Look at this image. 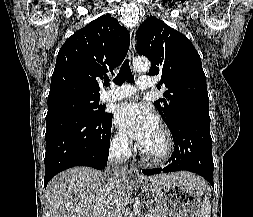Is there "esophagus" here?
I'll return each mask as SVG.
<instances>
[{"instance_id":"obj_1","label":"esophagus","mask_w":253,"mask_h":217,"mask_svg":"<svg viewBox=\"0 0 253 217\" xmlns=\"http://www.w3.org/2000/svg\"><path fill=\"white\" fill-rule=\"evenodd\" d=\"M134 50H135V33L134 31L131 32V41H130V47H129V58L132 59L134 57ZM130 175L133 179L139 180L141 178L139 174V170L136 165L131 164L130 165Z\"/></svg>"}]
</instances>
